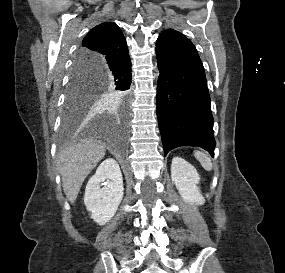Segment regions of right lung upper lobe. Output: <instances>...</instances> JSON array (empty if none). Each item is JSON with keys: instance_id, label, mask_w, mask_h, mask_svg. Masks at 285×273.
<instances>
[{"instance_id": "obj_1", "label": "right lung upper lobe", "mask_w": 285, "mask_h": 273, "mask_svg": "<svg viewBox=\"0 0 285 273\" xmlns=\"http://www.w3.org/2000/svg\"><path fill=\"white\" fill-rule=\"evenodd\" d=\"M126 39L114 22L95 26L82 41L74 66L80 73L98 76L92 66L117 60L128 55Z\"/></svg>"}]
</instances>
